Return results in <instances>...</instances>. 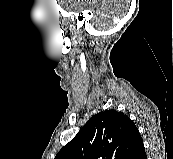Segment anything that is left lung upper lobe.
Returning a JSON list of instances; mask_svg holds the SVG:
<instances>
[{
	"label": "left lung upper lobe",
	"mask_w": 173,
	"mask_h": 159,
	"mask_svg": "<svg viewBox=\"0 0 173 159\" xmlns=\"http://www.w3.org/2000/svg\"><path fill=\"white\" fill-rule=\"evenodd\" d=\"M142 142L128 116L106 110L90 118L54 159H128Z\"/></svg>",
	"instance_id": "obj_1"
}]
</instances>
